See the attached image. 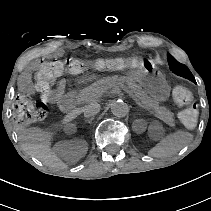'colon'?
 Returning a JSON list of instances; mask_svg holds the SVG:
<instances>
[{
  "label": "colon",
  "instance_id": "5ec220e1",
  "mask_svg": "<svg viewBox=\"0 0 211 211\" xmlns=\"http://www.w3.org/2000/svg\"><path fill=\"white\" fill-rule=\"evenodd\" d=\"M149 67L146 59L137 56L99 58L85 60L71 57L66 60L51 59L41 63L34 73L35 88L42 95L51 90L52 85L65 73L78 74L87 70L123 71L144 70ZM175 102L182 107L179 118L182 124L192 129L197 125L198 108L193 103L192 92L186 87H177L173 92ZM49 106L45 101H35L19 94L14 102V118L23 125H30L47 117Z\"/></svg>",
  "mask_w": 211,
  "mask_h": 211
}]
</instances>
